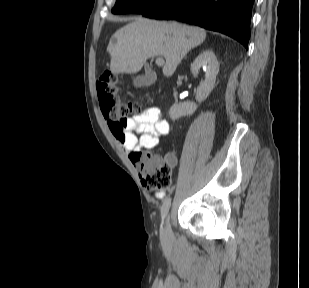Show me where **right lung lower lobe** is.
Masks as SVG:
<instances>
[{"label":"right lung lower lobe","instance_id":"98d812e1","mask_svg":"<svg viewBox=\"0 0 309 288\" xmlns=\"http://www.w3.org/2000/svg\"><path fill=\"white\" fill-rule=\"evenodd\" d=\"M254 0H164L142 13L155 19H176L218 31L247 49Z\"/></svg>","mask_w":309,"mask_h":288}]
</instances>
